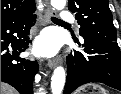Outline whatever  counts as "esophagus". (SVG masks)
I'll use <instances>...</instances> for the list:
<instances>
[{"label":"esophagus","mask_w":121,"mask_h":94,"mask_svg":"<svg viewBox=\"0 0 121 94\" xmlns=\"http://www.w3.org/2000/svg\"><path fill=\"white\" fill-rule=\"evenodd\" d=\"M54 15L53 9L49 6L48 2L46 1V9H45V16H44V21L45 24L50 23L51 17ZM61 62L60 56H57L55 58H52L48 61V67L49 68H54L56 67L59 63Z\"/></svg>","instance_id":"34e87169"}]
</instances>
